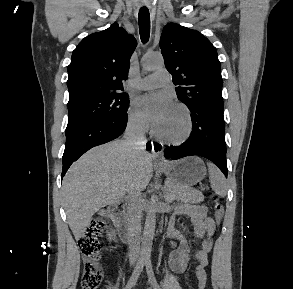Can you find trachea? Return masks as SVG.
<instances>
[{
  "label": "trachea",
  "instance_id": "trachea-1",
  "mask_svg": "<svg viewBox=\"0 0 293 289\" xmlns=\"http://www.w3.org/2000/svg\"><path fill=\"white\" fill-rule=\"evenodd\" d=\"M139 32L143 43H146L150 35V14L147 8H141L138 14Z\"/></svg>",
  "mask_w": 293,
  "mask_h": 289
}]
</instances>
